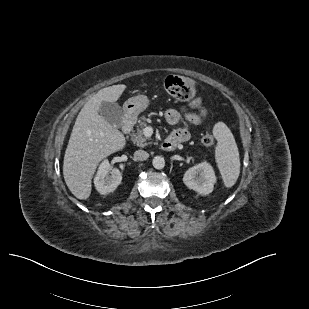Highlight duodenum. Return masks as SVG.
<instances>
[{
    "label": "duodenum",
    "mask_w": 309,
    "mask_h": 309,
    "mask_svg": "<svg viewBox=\"0 0 309 309\" xmlns=\"http://www.w3.org/2000/svg\"><path fill=\"white\" fill-rule=\"evenodd\" d=\"M135 123V117L132 114H126L123 118V124H122V132L124 134H129L134 126ZM179 144V141L174 138H167L163 141L161 147L165 151H171L176 148V146Z\"/></svg>",
    "instance_id": "1"
}]
</instances>
